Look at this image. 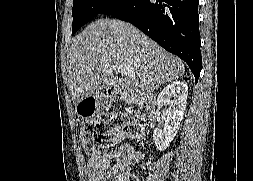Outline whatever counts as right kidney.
I'll return each mask as SVG.
<instances>
[{"label": "right kidney", "mask_w": 253, "mask_h": 181, "mask_svg": "<svg viewBox=\"0 0 253 181\" xmlns=\"http://www.w3.org/2000/svg\"><path fill=\"white\" fill-rule=\"evenodd\" d=\"M187 94L188 85L183 81L175 80L157 97V104L165 107L164 129L156 127L153 134L155 145L160 151L166 150L177 134L186 109Z\"/></svg>", "instance_id": "obj_1"}]
</instances>
